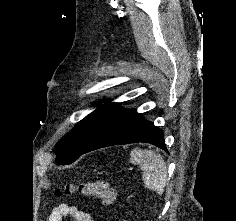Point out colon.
I'll list each match as a JSON object with an SVG mask.
<instances>
[{
  "label": "colon",
  "mask_w": 236,
  "mask_h": 221,
  "mask_svg": "<svg viewBox=\"0 0 236 221\" xmlns=\"http://www.w3.org/2000/svg\"><path fill=\"white\" fill-rule=\"evenodd\" d=\"M63 192L67 194L77 192L83 196L93 197L101 200L107 206H111L116 199V190L103 181L69 184L64 189L57 190L55 194L60 196Z\"/></svg>",
  "instance_id": "1"
}]
</instances>
